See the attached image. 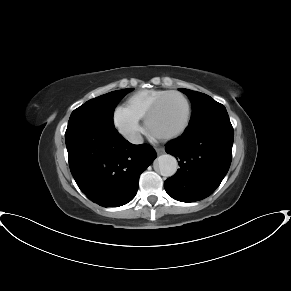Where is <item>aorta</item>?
Listing matches in <instances>:
<instances>
[{"instance_id":"762f6f07","label":"aorta","mask_w":291,"mask_h":291,"mask_svg":"<svg viewBox=\"0 0 291 291\" xmlns=\"http://www.w3.org/2000/svg\"><path fill=\"white\" fill-rule=\"evenodd\" d=\"M157 163L160 174L164 177L173 176L178 169V163L176 158L170 154L160 155L157 158Z\"/></svg>"}]
</instances>
